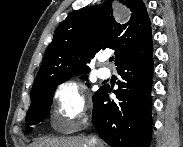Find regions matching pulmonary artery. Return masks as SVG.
Returning <instances> with one entry per match:
<instances>
[{
	"mask_svg": "<svg viewBox=\"0 0 183 147\" xmlns=\"http://www.w3.org/2000/svg\"><path fill=\"white\" fill-rule=\"evenodd\" d=\"M101 62H104L105 61V58H101L100 59ZM98 76L101 78V79H108L110 76H111V71L109 68H106V67H102L98 70Z\"/></svg>",
	"mask_w": 183,
	"mask_h": 147,
	"instance_id": "obj_1",
	"label": "pulmonary artery"
}]
</instances>
